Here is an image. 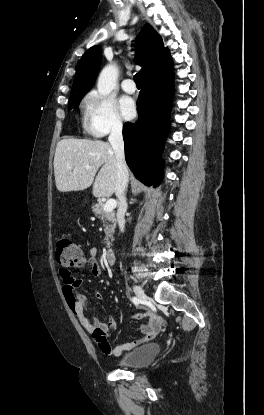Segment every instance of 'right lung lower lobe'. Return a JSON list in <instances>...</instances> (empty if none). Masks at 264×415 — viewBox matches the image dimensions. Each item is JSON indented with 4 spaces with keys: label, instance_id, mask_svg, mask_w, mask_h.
I'll return each mask as SVG.
<instances>
[{
    "label": "right lung lower lobe",
    "instance_id": "right-lung-lower-lobe-1",
    "mask_svg": "<svg viewBox=\"0 0 264 415\" xmlns=\"http://www.w3.org/2000/svg\"><path fill=\"white\" fill-rule=\"evenodd\" d=\"M174 74L146 79L137 101L139 118L123 126L125 158L137 179L157 186L162 179L159 156L169 131Z\"/></svg>",
    "mask_w": 264,
    "mask_h": 415
}]
</instances>
